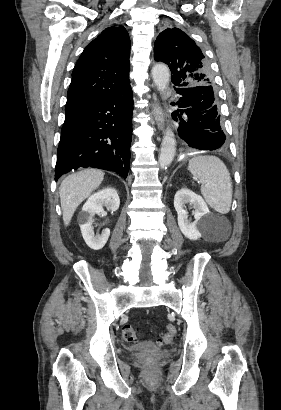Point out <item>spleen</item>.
<instances>
[{"instance_id": "1", "label": "spleen", "mask_w": 281, "mask_h": 410, "mask_svg": "<svg viewBox=\"0 0 281 410\" xmlns=\"http://www.w3.org/2000/svg\"><path fill=\"white\" fill-rule=\"evenodd\" d=\"M188 170L201 182V194L209 206L227 214L232 203V182L225 164L216 156H196L189 160Z\"/></svg>"}]
</instances>
